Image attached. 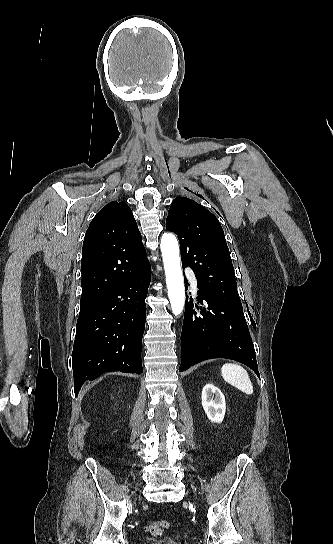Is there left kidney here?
<instances>
[{
	"mask_svg": "<svg viewBox=\"0 0 333 544\" xmlns=\"http://www.w3.org/2000/svg\"><path fill=\"white\" fill-rule=\"evenodd\" d=\"M202 406L212 423H221L225 416L226 404L223 393L213 384H206L202 390Z\"/></svg>",
	"mask_w": 333,
	"mask_h": 544,
	"instance_id": "5707ae66",
	"label": "left kidney"
}]
</instances>
